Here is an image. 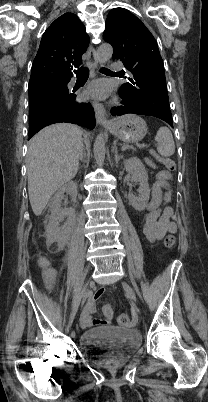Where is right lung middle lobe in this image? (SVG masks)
Instances as JSON below:
<instances>
[{
    "label": "right lung middle lobe",
    "instance_id": "obj_1",
    "mask_svg": "<svg viewBox=\"0 0 208 402\" xmlns=\"http://www.w3.org/2000/svg\"><path fill=\"white\" fill-rule=\"evenodd\" d=\"M68 82L50 81L33 91L29 89V125L41 114L69 107L75 102L76 95L68 91Z\"/></svg>",
    "mask_w": 208,
    "mask_h": 402
}]
</instances>
